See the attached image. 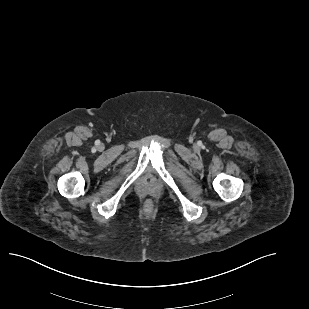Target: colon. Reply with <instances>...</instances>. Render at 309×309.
<instances>
[{"instance_id": "colon-1", "label": "colon", "mask_w": 309, "mask_h": 309, "mask_svg": "<svg viewBox=\"0 0 309 309\" xmlns=\"http://www.w3.org/2000/svg\"><path fill=\"white\" fill-rule=\"evenodd\" d=\"M147 204H148L149 206H151V205H152V202L149 200V201L147 202Z\"/></svg>"}]
</instances>
